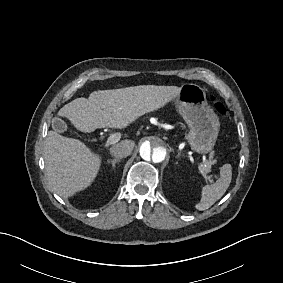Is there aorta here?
Segmentation results:
<instances>
[{"label":"aorta","mask_w":283,"mask_h":283,"mask_svg":"<svg viewBox=\"0 0 283 283\" xmlns=\"http://www.w3.org/2000/svg\"><path fill=\"white\" fill-rule=\"evenodd\" d=\"M139 153L144 165L156 167L167 161L169 148L166 140L162 137L147 135L140 142Z\"/></svg>","instance_id":"obj_1"}]
</instances>
